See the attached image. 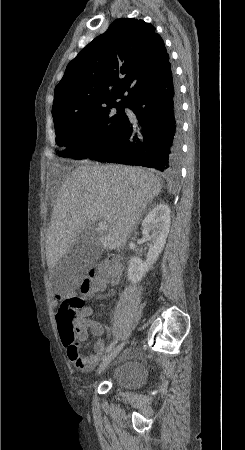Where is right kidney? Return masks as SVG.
<instances>
[{"instance_id":"ca27d5eb","label":"right kidney","mask_w":245,"mask_h":450,"mask_svg":"<svg viewBox=\"0 0 245 450\" xmlns=\"http://www.w3.org/2000/svg\"><path fill=\"white\" fill-rule=\"evenodd\" d=\"M170 228V208L165 203L155 206L142 222V234L149 243L147 259L133 257L128 267V278L132 283L141 281L150 267L157 261L166 243Z\"/></svg>"}]
</instances>
